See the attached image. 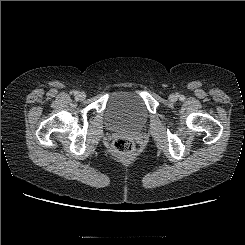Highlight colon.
Segmentation results:
<instances>
[{"instance_id":"1","label":"colon","mask_w":245,"mask_h":245,"mask_svg":"<svg viewBox=\"0 0 245 245\" xmlns=\"http://www.w3.org/2000/svg\"><path fill=\"white\" fill-rule=\"evenodd\" d=\"M113 148L118 154L127 155L134 151L135 144L130 138L120 137L113 142Z\"/></svg>"}]
</instances>
